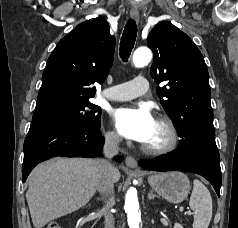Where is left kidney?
<instances>
[{
	"mask_svg": "<svg viewBox=\"0 0 238 228\" xmlns=\"http://www.w3.org/2000/svg\"><path fill=\"white\" fill-rule=\"evenodd\" d=\"M174 228H183V226L179 223H175Z\"/></svg>",
	"mask_w": 238,
	"mask_h": 228,
	"instance_id": "left-kidney-1",
	"label": "left kidney"
}]
</instances>
